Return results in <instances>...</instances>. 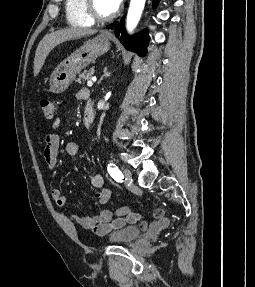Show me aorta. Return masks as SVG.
I'll return each instance as SVG.
<instances>
[{
	"label": "aorta",
	"mask_w": 255,
	"mask_h": 287,
	"mask_svg": "<svg viewBox=\"0 0 255 287\" xmlns=\"http://www.w3.org/2000/svg\"><path fill=\"white\" fill-rule=\"evenodd\" d=\"M146 0H131L127 14V30L133 31L142 15Z\"/></svg>",
	"instance_id": "obj_1"
}]
</instances>
